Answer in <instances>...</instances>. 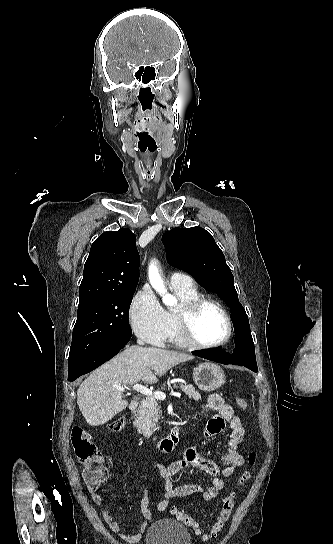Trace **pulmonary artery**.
I'll list each match as a JSON object with an SVG mask.
<instances>
[{
    "instance_id": "obj_1",
    "label": "pulmonary artery",
    "mask_w": 333,
    "mask_h": 544,
    "mask_svg": "<svg viewBox=\"0 0 333 544\" xmlns=\"http://www.w3.org/2000/svg\"><path fill=\"white\" fill-rule=\"evenodd\" d=\"M169 280L171 286L175 288H190L195 286L193 279L181 272L172 273Z\"/></svg>"
}]
</instances>
